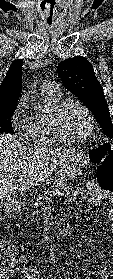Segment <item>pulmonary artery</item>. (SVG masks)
Masks as SVG:
<instances>
[{"label": "pulmonary artery", "mask_w": 113, "mask_h": 279, "mask_svg": "<svg viewBox=\"0 0 113 279\" xmlns=\"http://www.w3.org/2000/svg\"><path fill=\"white\" fill-rule=\"evenodd\" d=\"M43 91L49 92L55 95H61L60 86L55 82H47L42 86Z\"/></svg>", "instance_id": "e3ab8cb5"}]
</instances>
